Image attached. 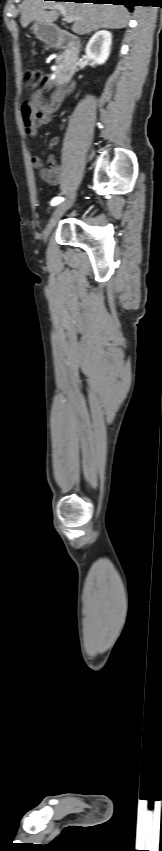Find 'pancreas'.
<instances>
[{
    "label": "pancreas",
    "instance_id": "pancreas-1",
    "mask_svg": "<svg viewBox=\"0 0 162 851\" xmlns=\"http://www.w3.org/2000/svg\"><path fill=\"white\" fill-rule=\"evenodd\" d=\"M67 62V53L59 54L56 58V69L54 70L55 74L60 73V71L64 68Z\"/></svg>",
    "mask_w": 162,
    "mask_h": 851
}]
</instances>
